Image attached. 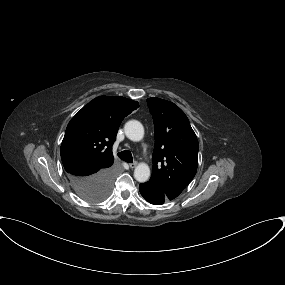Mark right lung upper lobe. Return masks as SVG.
<instances>
[{"label":"right lung upper lobe","instance_id":"obj_1","mask_svg":"<svg viewBox=\"0 0 285 285\" xmlns=\"http://www.w3.org/2000/svg\"><path fill=\"white\" fill-rule=\"evenodd\" d=\"M138 107V102L121 96H99L85 105L69 122L61 144L66 172L112 166L118 127Z\"/></svg>","mask_w":285,"mask_h":285}]
</instances>
